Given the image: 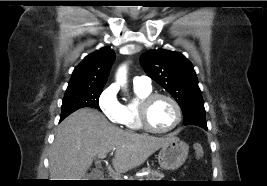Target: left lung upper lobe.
Masks as SVG:
<instances>
[{
    "label": "left lung upper lobe",
    "instance_id": "left-lung-upper-lobe-1",
    "mask_svg": "<svg viewBox=\"0 0 267 186\" xmlns=\"http://www.w3.org/2000/svg\"><path fill=\"white\" fill-rule=\"evenodd\" d=\"M141 64L148 76L178 102L183 111L184 125L207 128L196 73L183 54L164 49L149 50L141 56Z\"/></svg>",
    "mask_w": 267,
    "mask_h": 186
}]
</instances>
